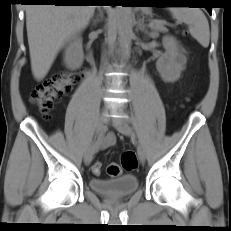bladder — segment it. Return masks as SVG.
Instances as JSON below:
<instances>
[{
  "label": "bladder",
  "instance_id": "bladder-1",
  "mask_svg": "<svg viewBox=\"0 0 231 231\" xmlns=\"http://www.w3.org/2000/svg\"><path fill=\"white\" fill-rule=\"evenodd\" d=\"M88 185L94 192L102 196L123 198L136 191L138 187V177L133 174H126L107 180L91 178Z\"/></svg>",
  "mask_w": 231,
  "mask_h": 231
}]
</instances>
